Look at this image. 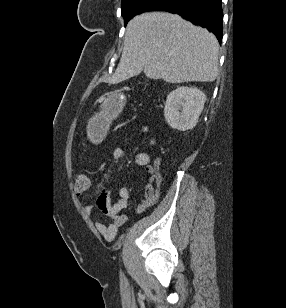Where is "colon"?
Segmentation results:
<instances>
[{
    "label": "colon",
    "instance_id": "1",
    "mask_svg": "<svg viewBox=\"0 0 286 308\" xmlns=\"http://www.w3.org/2000/svg\"><path fill=\"white\" fill-rule=\"evenodd\" d=\"M91 188V180L86 174L75 176L74 190L76 193H83Z\"/></svg>",
    "mask_w": 286,
    "mask_h": 308
}]
</instances>
